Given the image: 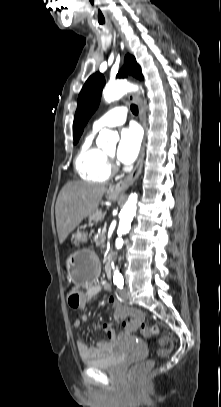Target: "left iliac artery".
Segmentation results:
<instances>
[{"label":"left iliac artery","mask_w":221,"mask_h":407,"mask_svg":"<svg viewBox=\"0 0 221 407\" xmlns=\"http://www.w3.org/2000/svg\"><path fill=\"white\" fill-rule=\"evenodd\" d=\"M115 283L117 284L118 288L122 289L124 285V280L120 278Z\"/></svg>","instance_id":"1"}]
</instances>
